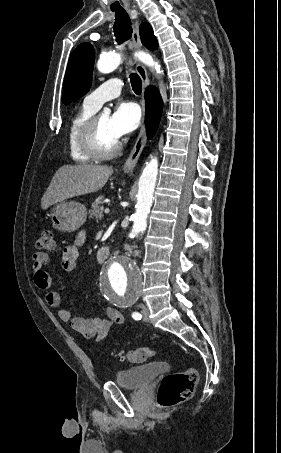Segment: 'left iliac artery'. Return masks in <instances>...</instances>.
<instances>
[{
  "label": "left iliac artery",
  "instance_id": "1",
  "mask_svg": "<svg viewBox=\"0 0 281 453\" xmlns=\"http://www.w3.org/2000/svg\"><path fill=\"white\" fill-rule=\"evenodd\" d=\"M132 317H133L135 320H141L142 315L139 314V313H133Z\"/></svg>",
  "mask_w": 281,
  "mask_h": 453
}]
</instances>
